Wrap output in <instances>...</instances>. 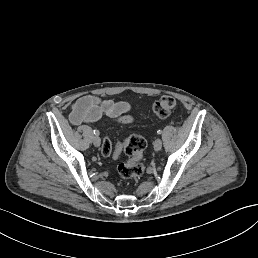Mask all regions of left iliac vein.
Returning <instances> with one entry per match:
<instances>
[{
	"label": "left iliac vein",
	"mask_w": 258,
	"mask_h": 258,
	"mask_svg": "<svg viewBox=\"0 0 258 258\" xmlns=\"http://www.w3.org/2000/svg\"><path fill=\"white\" fill-rule=\"evenodd\" d=\"M162 143H163V142H162L161 138H156V140H155V142H154V144H153L156 151L159 152V151L162 150V148H163V147H162Z\"/></svg>",
	"instance_id": "left-iliac-vein-1"
}]
</instances>
